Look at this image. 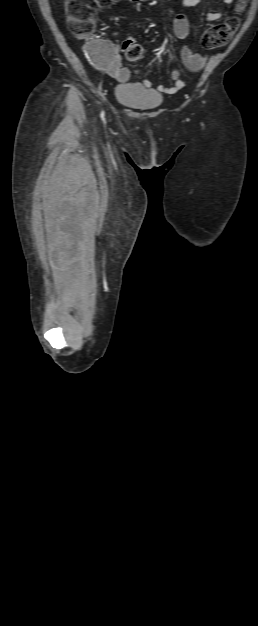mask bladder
<instances>
[{
	"mask_svg": "<svg viewBox=\"0 0 258 626\" xmlns=\"http://www.w3.org/2000/svg\"><path fill=\"white\" fill-rule=\"evenodd\" d=\"M115 98L126 107L142 111L155 109L162 103V96L158 92L138 83L117 85Z\"/></svg>",
	"mask_w": 258,
	"mask_h": 626,
	"instance_id": "obj_1",
	"label": "bladder"
}]
</instances>
